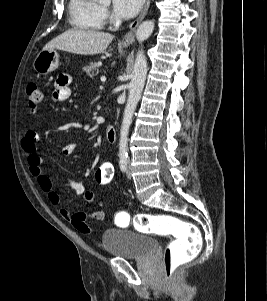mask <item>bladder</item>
Wrapping results in <instances>:
<instances>
[{
    "mask_svg": "<svg viewBox=\"0 0 267 301\" xmlns=\"http://www.w3.org/2000/svg\"><path fill=\"white\" fill-rule=\"evenodd\" d=\"M101 241L108 254L125 259H143L158 248V242L154 237L120 228L106 229Z\"/></svg>",
    "mask_w": 267,
    "mask_h": 301,
    "instance_id": "31cf9c89",
    "label": "bladder"
}]
</instances>
